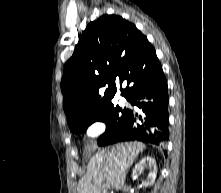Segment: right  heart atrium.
I'll use <instances>...</instances> for the list:
<instances>
[{
  "mask_svg": "<svg viewBox=\"0 0 221 193\" xmlns=\"http://www.w3.org/2000/svg\"><path fill=\"white\" fill-rule=\"evenodd\" d=\"M105 130V124L101 121L92 123L87 129V135L91 138H95L101 135Z\"/></svg>",
  "mask_w": 221,
  "mask_h": 193,
  "instance_id": "right-heart-atrium-1",
  "label": "right heart atrium"
}]
</instances>
